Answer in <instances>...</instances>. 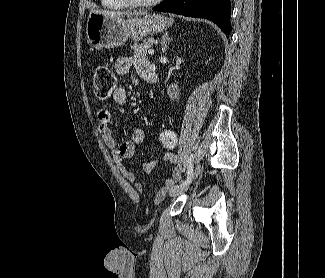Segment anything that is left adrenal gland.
<instances>
[{
	"instance_id": "obj_1",
	"label": "left adrenal gland",
	"mask_w": 325,
	"mask_h": 278,
	"mask_svg": "<svg viewBox=\"0 0 325 278\" xmlns=\"http://www.w3.org/2000/svg\"><path fill=\"white\" fill-rule=\"evenodd\" d=\"M172 40V38L168 37V32H166L161 40V45H162V53H165L167 49V43H169Z\"/></svg>"
}]
</instances>
